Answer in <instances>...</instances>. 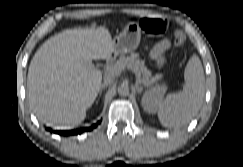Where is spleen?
Returning <instances> with one entry per match:
<instances>
[{
    "label": "spleen",
    "mask_w": 243,
    "mask_h": 167,
    "mask_svg": "<svg viewBox=\"0 0 243 167\" xmlns=\"http://www.w3.org/2000/svg\"><path fill=\"white\" fill-rule=\"evenodd\" d=\"M185 86L179 93L167 95L157 105L158 118L165 127H181L199 112L205 94V76L201 61L193 55L184 71Z\"/></svg>",
    "instance_id": "1"
}]
</instances>
